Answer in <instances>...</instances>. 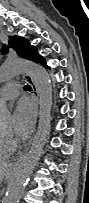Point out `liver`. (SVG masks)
<instances>
[{
    "mask_svg": "<svg viewBox=\"0 0 89 203\" xmlns=\"http://www.w3.org/2000/svg\"><path fill=\"white\" fill-rule=\"evenodd\" d=\"M10 164L7 162H1L0 163V178L1 180L4 179V177L8 174V170L10 168Z\"/></svg>",
    "mask_w": 89,
    "mask_h": 203,
    "instance_id": "6515ba94",
    "label": "liver"
}]
</instances>
